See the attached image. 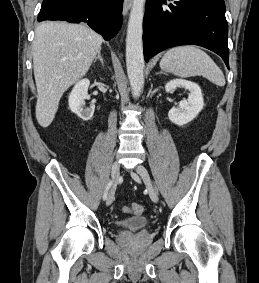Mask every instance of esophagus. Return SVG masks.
Listing matches in <instances>:
<instances>
[{
    "instance_id": "obj_1",
    "label": "esophagus",
    "mask_w": 259,
    "mask_h": 283,
    "mask_svg": "<svg viewBox=\"0 0 259 283\" xmlns=\"http://www.w3.org/2000/svg\"><path fill=\"white\" fill-rule=\"evenodd\" d=\"M132 5V0H124L123 3V16L126 17Z\"/></svg>"
}]
</instances>
